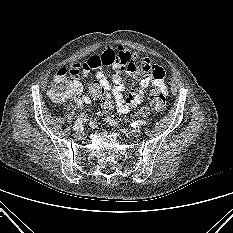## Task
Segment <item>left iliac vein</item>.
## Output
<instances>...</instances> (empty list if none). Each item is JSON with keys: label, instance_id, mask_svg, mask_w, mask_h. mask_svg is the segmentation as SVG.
Wrapping results in <instances>:
<instances>
[{"label": "left iliac vein", "instance_id": "1", "mask_svg": "<svg viewBox=\"0 0 233 233\" xmlns=\"http://www.w3.org/2000/svg\"><path fill=\"white\" fill-rule=\"evenodd\" d=\"M122 131H123V132H124V131L126 132L125 129H122ZM129 134H131L132 136L137 137V136H139V135L141 134V130H139V129L130 130V131H129Z\"/></svg>", "mask_w": 233, "mask_h": 233}]
</instances>
